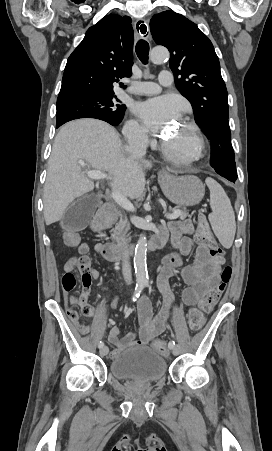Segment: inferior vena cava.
Here are the masks:
<instances>
[{"label": "inferior vena cava", "instance_id": "602c4592", "mask_svg": "<svg viewBox=\"0 0 272 451\" xmlns=\"http://www.w3.org/2000/svg\"><path fill=\"white\" fill-rule=\"evenodd\" d=\"M126 152H130L133 156H145L147 150V138L144 134H139L137 138H130L129 146H125ZM122 273L123 277L127 283L130 285L132 283V271L129 261L128 249L124 247L123 257H122Z\"/></svg>", "mask_w": 272, "mask_h": 451}]
</instances>
